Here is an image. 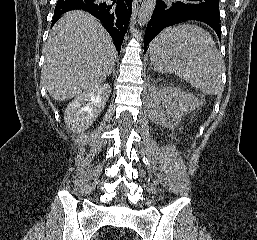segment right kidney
<instances>
[{
  "label": "right kidney",
  "instance_id": "ca27d5eb",
  "mask_svg": "<svg viewBox=\"0 0 257 240\" xmlns=\"http://www.w3.org/2000/svg\"><path fill=\"white\" fill-rule=\"evenodd\" d=\"M111 87L104 83L77 95L66 107L64 121L73 132L87 129L106 105Z\"/></svg>",
  "mask_w": 257,
  "mask_h": 240
}]
</instances>
